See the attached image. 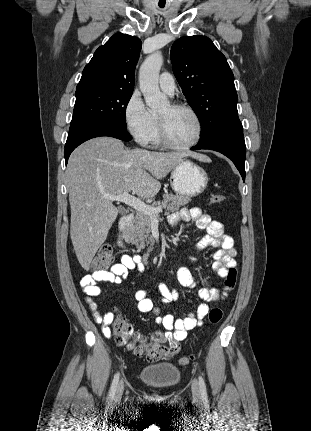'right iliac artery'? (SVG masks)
<instances>
[{
  "label": "right iliac artery",
  "instance_id": "right-iliac-artery-1",
  "mask_svg": "<svg viewBox=\"0 0 311 431\" xmlns=\"http://www.w3.org/2000/svg\"><path fill=\"white\" fill-rule=\"evenodd\" d=\"M118 381H119V373H117L114 376V379L112 381V384H111V387H110V391H109V394H108V399H113L114 398Z\"/></svg>",
  "mask_w": 311,
  "mask_h": 431
}]
</instances>
